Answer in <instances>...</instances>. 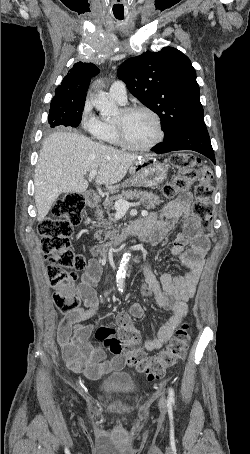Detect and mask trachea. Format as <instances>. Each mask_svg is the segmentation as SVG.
<instances>
[{"label": "trachea", "mask_w": 250, "mask_h": 454, "mask_svg": "<svg viewBox=\"0 0 250 454\" xmlns=\"http://www.w3.org/2000/svg\"><path fill=\"white\" fill-rule=\"evenodd\" d=\"M115 17L119 20H122L124 18L123 16H117V15H115Z\"/></svg>", "instance_id": "1"}]
</instances>
